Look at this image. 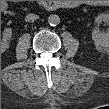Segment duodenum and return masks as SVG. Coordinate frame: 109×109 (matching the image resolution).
Instances as JSON below:
<instances>
[{"label":"duodenum","instance_id":"1","mask_svg":"<svg viewBox=\"0 0 109 109\" xmlns=\"http://www.w3.org/2000/svg\"><path fill=\"white\" fill-rule=\"evenodd\" d=\"M38 5H39L40 8H43V9L60 7V5H57L56 3L52 2V1H41V2H39ZM68 6L74 7L75 4L70 3Z\"/></svg>","mask_w":109,"mask_h":109}]
</instances>
